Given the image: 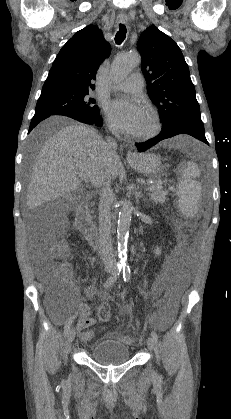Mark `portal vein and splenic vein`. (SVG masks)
Listing matches in <instances>:
<instances>
[{
	"instance_id": "portal-vein-and-splenic-vein-1",
	"label": "portal vein and splenic vein",
	"mask_w": 231,
	"mask_h": 419,
	"mask_svg": "<svg viewBox=\"0 0 231 419\" xmlns=\"http://www.w3.org/2000/svg\"><path fill=\"white\" fill-rule=\"evenodd\" d=\"M78 176L82 179V180H86V176L85 175H83V174H81V173H78ZM145 190H149V191H151V190H154V187L153 186H147V187H145Z\"/></svg>"
}]
</instances>
